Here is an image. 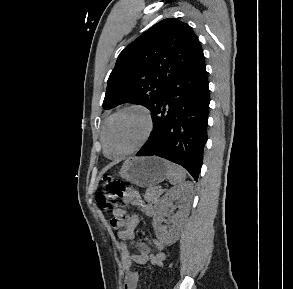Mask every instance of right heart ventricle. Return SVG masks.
Listing matches in <instances>:
<instances>
[{"label":"right heart ventricle","instance_id":"right-heart-ventricle-1","mask_svg":"<svg viewBox=\"0 0 293 289\" xmlns=\"http://www.w3.org/2000/svg\"><path fill=\"white\" fill-rule=\"evenodd\" d=\"M106 121H107V120H106ZM106 121H105V122H106ZM104 124H105V123H104ZM103 128H104V125H103V127H102L101 134H102Z\"/></svg>","mask_w":293,"mask_h":289}]
</instances>
